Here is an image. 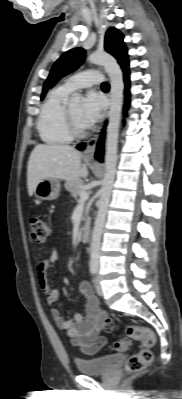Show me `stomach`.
<instances>
[{"mask_svg":"<svg viewBox=\"0 0 182 399\" xmlns=\"http://www.w3.org/2000/svg\"><path fill=\"white\" fill-rule=\"evenodd\" d=\"M60 189L61 185L58 179L47 178L37 184L34 194L41 200H54L58 198Z\"/></svg>","mask_w":182,"mask_h":399,"instance_id":"obj_1","label":"stomach"}]
</instances>
